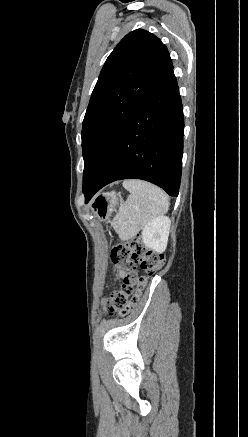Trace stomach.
Masks as SVG:
<instances>
[{"mask_svg": "<svg viewBox=\"0 0 248 437\" xmlns=\"http://www.w3.org/2000/svg\"><path fill=\"white\" fill-rule=\"evenodd\" d=\"M116 194L114 192L107 193L97 197L92 205L94 211L99 218L108 219L111 213L116 208Z\"/></svg>", "mask_w": 248, "mask_h": 437, "instance_id": "obj_1", "label": "stomach"}]
</instances>
